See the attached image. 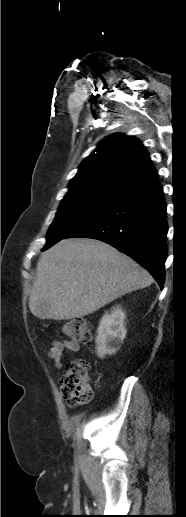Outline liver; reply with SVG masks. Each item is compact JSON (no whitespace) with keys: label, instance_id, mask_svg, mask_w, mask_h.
<instances>
[{"label":"liver","instance_id":"obj_1","mask_svg":"<svg viewBox=\"0 0 186 517\" xmlns=\"http://www.w3.org/2000/svg\"><path fill=\"white\" fill-rule=\"evenodd\" d=\"M152 283L147 270L109 244L65 239L41 255L29 308L42 319L80 318ZM41 304H46L42 312Z\"/></svg>","mask_w":186,"mask_h":517}]
</instances>
